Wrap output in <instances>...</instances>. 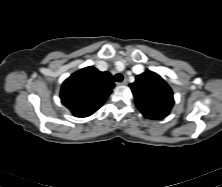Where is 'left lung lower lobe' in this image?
Masks as SVG:
<instances>
[{"label":"left lung lower lobe","instance_id":"1","mask_svg":"<svg viewBox=\"0 0 222 187\" xmlns=\"http://www.w3.org/2000/svg\"><path fill=\"white\" fill-rule=\"evenodd\" d=\"M148 119H154V120H159V119H162V118H159V117H146Z\"/></svg>","mask_w":222,"mask_h":187}]
</instances>
